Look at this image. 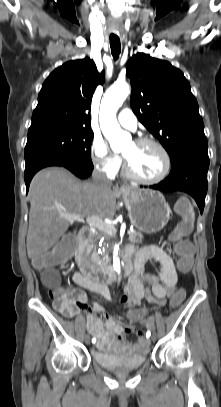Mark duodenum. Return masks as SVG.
I'll return each instance as SVG.
<instances>
[{
    "instance_id": "duodenum-1",
    "label": "duodenum",
    "mask_w": 221,
    "mask_h": 407,
    "mask_svg": "<svg viewBox=\"0 0 221 407\" xmlns=\"http://www.w3.org/2000/svg\"><path fill=\"white\" fill-rule=\"evenodd\" d=\"M90 234L87 228L82 229L78 234V250L76 252V261L81 272L92 280L100 283H109L116 280L117 273L112 267H98L90 260L85 252V241ZM133 270L131 256L126 253L122 262V274H129Z\"/></svg>"
}]
</instances>
